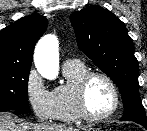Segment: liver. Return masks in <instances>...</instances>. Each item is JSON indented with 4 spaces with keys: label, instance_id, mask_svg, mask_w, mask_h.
Returning a JSON list of instances; mask_svg holds the SVG:
<instances>
[{
    "label": "liver",
    "instance_id": "liver-1",
    "mask_svg": "<svg viewBox=\"0 0 147 131\" xmlns=\"http://www.w3.org/2000/svg\"><path fill=\"white\" fill-rule=\"evenodd\" d=\"M85 128L82 126H67L60 124H32V123H21L16 124L12 115L8 112L0 113V131H80Z\"/></svg>",
    "mask_w": 147,
    "mask_h": 131
}]
</instances>
